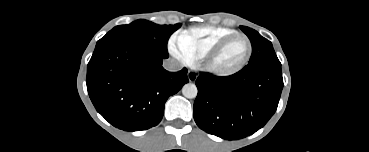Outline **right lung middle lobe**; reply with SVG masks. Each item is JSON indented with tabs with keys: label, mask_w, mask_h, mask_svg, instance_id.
Masks as SVG:
<instances>
[{
	"label": "right lung middle lobe",
	"mask_w": 369,
	"mask_h": 152,
	"mask_svg": "<svg viewBox=\"0 0 369 152\" xmlns=\"http://www.w3.org/2000/svg\"><path fill=\"white\" fill-rule=\"evenodd\" d=\"M180 26L181 24L157 25L147 20H136L128 25L114 27L97 42L95 49L112 42L126 41L145 45L159 55L168 56V39Z\"/></svg>",
	"instance_id": "right-lung-middle-lobe-1"
}]
</instances>
